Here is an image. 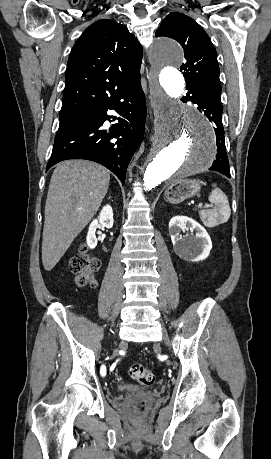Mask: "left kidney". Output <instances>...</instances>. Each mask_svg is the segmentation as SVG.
I'll return each instance as SVG.
<instances>
[{"label":"left kidney","mask_w":271,"mask_h":459,"mask_svg":"<svg viewBox=\"0 0 271 459\" xmlns=\"http://www.w3.org/2000/svg\"><path fill=\"white\" fill-rule=\"evenodd\" d=\"M196 229L195 235H186L182 237L180 235L181 229ZM169 233L171 235L172 243L174 245V251L180 255V257H192L189 261H199V259H205L210 253L212 247V241L210 235H208L205 228H202L198 222L187 218V216H174L169 222ZM196 253V255H195ZM195 255V257H193Z\"/></svg>","instance_id":"left-kidney-1"}]
</instances>
